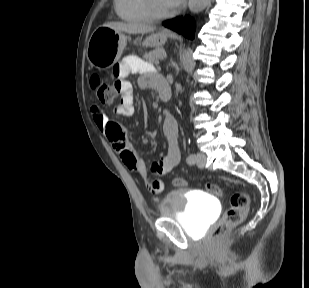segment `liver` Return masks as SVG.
<instances>
[{"label": "liver", "instance_id": "1", "mask_svg": "<svg viewBox=\"0 0 309 288\" xmlns=\"http://www.w3.org/2000/svg\"><path fill=\"white\" fill-rule=\"evenodd\" d=\"M103 26L114 29L115 31L125 32L129 34H146L155 30L154 27L137 23L131 24L123 22H109L105 23Z\"/></svg>", "mask_w": 309, "mask_h": 288}]
</instances>
